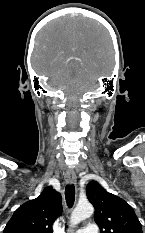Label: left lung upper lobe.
<instances>
[{
	"mask_svg": "<svg viewBox=\"0 0 145 233\" xmlns=\"http://www.w3.org/2000/svg\"><path fill=\"white\" fill-rule=\"evenodd\" d=\"M86 194L95 208L94 219L101 233H143L140 221L126 201L107 192L96 181L88 183Z\"/></svg>",
	"mask_w": 145,
	"mask_h": 233,
	"instance_id": "left-lung-upper-lobe-1",
	"label": "left lung upper lobe"
}]
</instances>
